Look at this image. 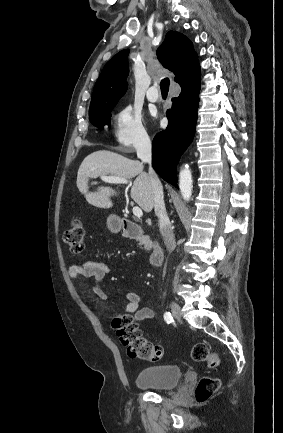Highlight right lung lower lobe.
Instances as JSON below:
<instances>
[{
    "label": "right lung lower lobe",
    "mask_w": 283,
    "mask_h": 433,
    "mask_svg": "<svg viewBox=\"0 0 283 433\" xmlns=\"http://www.w3.org/2000/svg\"><path fill=\"white\" fill-rule=\"evenodd\" d=\"M181 89L180 95L172 99V108L167 111V129L153 140L152 154L153 168L164 180L176 186V165L195 133L200 77L181 85Z\"/></svg>",
    "instance_id": "98d812e1"
}]
</instances>
